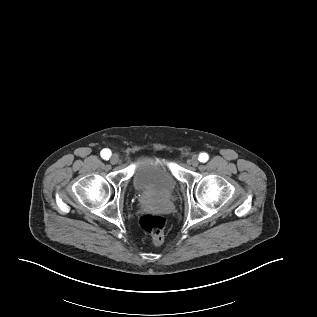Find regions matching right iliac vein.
I'll use <instances>...</instances> for the list:
<instances>
[{
    "mask_svg": "<svg viewBox=\"0 0 317 317\" xmlns=\"http://www.w3.org/2000/svg\"><path fill=\"white\" fill-rule=\"evenodd\" d=\"M119 162V157L117 155H112L110 158V163L111 164H117Z\"/></svg>",
    "mask_w": 317,
    "mask_h": 317,
    "instance_id": "63e3f726",
    "label": "right iliac vein"
}]
</instances>
